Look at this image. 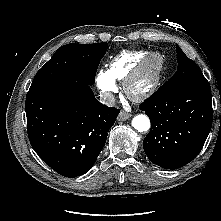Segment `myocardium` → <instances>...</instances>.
I'll return each instance as SVG.
<instances>
[{"instance_id": "1", "label": "myocardium", "mask_w": 221, "mask_h": 221, "mask_svg": "<svg viewBox=\"0 0 221 221\" xmlns=\"http://www.w3.org/2000/svg\"><path fill=\"white\" fill-rule=\"evenodd\" d=\"M164 63V57L160 52L147 53L124 79L123 89L126 95L134 101H141L152 95L160 85ZM150 67L154 68L152 80L145 88L135 90L134 84L137 79Z\"/></svg>"}]
</instances>
